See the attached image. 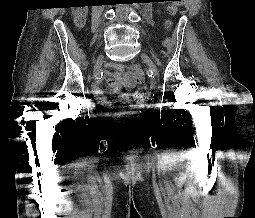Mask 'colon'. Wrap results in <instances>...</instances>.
Returning a JSON list of instances; mask_svg holds the SVG:
<instances>
[{
	"label": "colon",
	"instance_id": "5ec220e1",
	"mask_svg": "<svg viewBox=\"0 0 255 218\" xmlns=\"http://www.w3.org/2000/svg\"><path fill=\"white\" fill-rule=\"evenodd\" d=\"M172 1L174 2V4L171 5L170 12L171 13H175L176 10H177V7L179 5H181L183 0H172ZM74 20H75L76 25H78V26H81L83 24V22H84V12H83V10H78L75 13ZM141 95L144 96V97H148L149 96V92L147 90H143L141 92Z\"/></svg>",
	"mask_w": 255,
	"mask_h": 218
}]
</instances>
